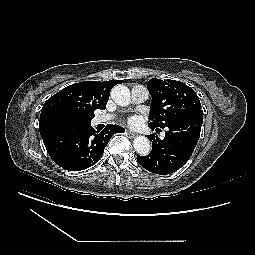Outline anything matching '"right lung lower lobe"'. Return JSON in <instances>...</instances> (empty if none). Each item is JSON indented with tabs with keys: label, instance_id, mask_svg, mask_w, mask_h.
Segmentation results:
<instances>
[{
	"label": "right lung lower lobe",
	"instance_id": "98d812e1",
	"mask_svg": "<svg viewBox=\"0 0 255 255\" xmlns=\"http://www.w3.org/2000/svg\"><path fill=\"white\" fill-rule=\"evenodd\" d=\"M124 131L118 125L109 124L103 131L96 132L88 122L74 130L53 125L40 131V134L56 164L65 170L81 171L99 161L114 133Z\"/></svg>",
	"mask_w": 255,
	"mask_h": 255
}]
</instances>
